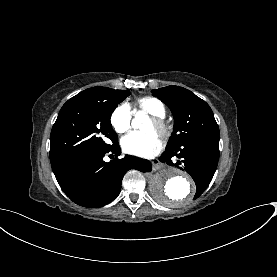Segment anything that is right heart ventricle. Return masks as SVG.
Here are the masks:
<instances>
[{
	"instance_id": "obj_1",
	"label": "right heart ventricle",
	"mask_w": 277,
	"mask_h": 277,
	"mask_svg": "<svg viewBox=\"0 0 277 277\" xmlns=\"http://www.w3.org/2000/svg\"><path fill=\"white\" fill-rule=\"evenodd\" d=\"M128 109L131 111V114L137 115L140 111L148 112L152 115L164 116L165 108L161 101L153 97H143L137 100L136 103L130 105ZM147 132L146 130H144Z\"/></svg>"
}]
</instances>
